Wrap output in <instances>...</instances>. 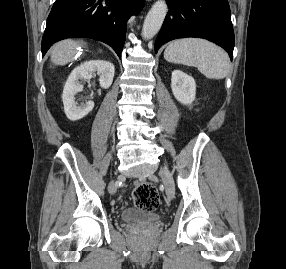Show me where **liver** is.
<instances>
[{"label":"liver","instance_id":"1","mask_svg":"<svg viewBox=\"0 0 286 269\" xmlns=\"http://www.w3.org/2000/svg\"><path fill=\"white\" fill-rule=\"evenodd\" d=\"M83 45V42L73 40H64L57 43L51 51V61L55 65H65L73 60L77 53V48Z\"/></svg>","mask_w":286,"mask_h":269}]
</instances>
